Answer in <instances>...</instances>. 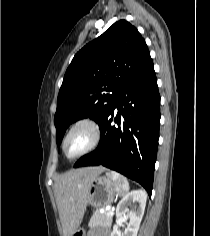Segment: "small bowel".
<instances>
[{
	"label": "small bowel",
	"mask_w": 210,
	"mask_h": 236,
	"mask_svg": "<svg viewBox=\"0 0 210 236\" xmlns=\"http://www.w3.org/2000/svg\"><path fill=\"white\" fill-rule=\"evenodd\" d=\"M89 236H109L107 233L91 232Z\"/></svg>",
	"instance_id": "obj_1"
}]
</instances>
